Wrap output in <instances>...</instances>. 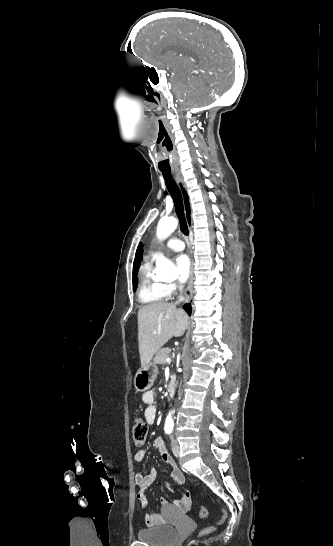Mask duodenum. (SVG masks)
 Returning a JSON list of instances; mask_svg holds the SVG:
<instances>
[{
    "label": "duodenum",
    "mask_w": 333,
    "mask_h": 546,
    "mask_svg": "<svg viewBox=\"0 0 333 546\" xmlns=\"http://www.w3.org/2000/svg\"><path fill=\"white\" fill-rule=\"evenodd\" d=\"M176 389V378L170 377L168 384H167V391L168 393L173 396Z\"/></svg>",
    "instance_id": "1"
}]
</instances>
